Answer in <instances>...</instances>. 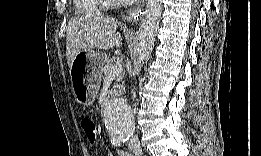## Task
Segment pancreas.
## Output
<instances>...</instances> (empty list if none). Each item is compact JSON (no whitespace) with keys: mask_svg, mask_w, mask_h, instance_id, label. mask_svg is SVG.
Wrapping results in <instances>:
<instances>
[{"mask_svg":"<svg viewBox=\"0 0 261 156\" xmlns=\"http://www.w3.org/2000/svg\"><path fill=\"white\" fill-rule=\"evenodd\" d=\"M118 61H119L118 57H113L111 59H107L105 64H104V66L101 69V73L104 74V75H108L109 72H110L111 67L114 66L116 63H118ZM122 79H123V75L122 74L116 76V81L117 82H120ZM118 87H119V85L115 84V86H114V88H115L114 91L115 92L118 90Z\"/></svg>","mask_w":261,"mask_h":156,"instance_id":"obj_1","label":"pancreas"}]
</instances>
